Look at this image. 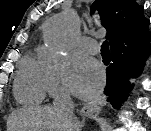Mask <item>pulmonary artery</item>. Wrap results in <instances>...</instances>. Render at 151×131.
<instances>
[{
	"mask_svg": "<svg viewBox=\"0 0 151 131\" xmlns=\"http://www.w3.org/2000/svg\"><path fill=\"white\" fill-rule=\"evenodd\" d=\"M81 47L87 52H91V53L97 52V48L94 42L89 39H84L81 43Z\"/></svg>",
	"mask_w": 151,
	"mask_h": 131,
	"instance_id": "1",
	"label": "pulmonary artery"
}]
</instances>
